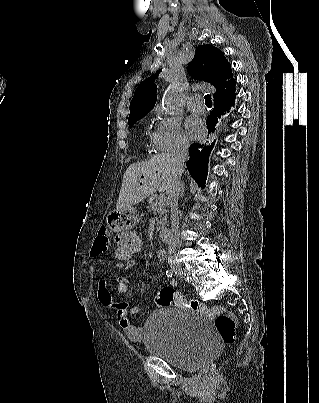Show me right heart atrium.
Listing matches in <instances>:
<instances>
[{
    "label": "right heart atrium",
    "mask_w": 319,
    "mask_h": 403,
    "mask_svg": "<svg viewBox=\"0 0 319 403\" xmlns=\"http://www.w3.org/2000/svg\"><path fill=\"white\" fill-rule=\"evenodd\" d=\"M156 125L152 135V145L160 152H173L185 149L188 140L182 130L181 121L175 115H170L163 108L155 110Z\"/></svg>",
    "instance_id": "obj_1"
}]
</instances>
